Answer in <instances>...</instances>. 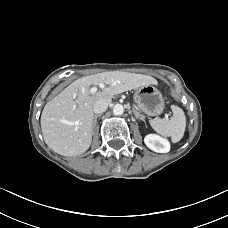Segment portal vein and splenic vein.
<instances>
[{"label": "portal vein and splenic vein", "instance_id": "18ae733b", "mask_svg": "<svg viewBox=\"0 0 228 228\" xmlns=\"http://www.w3.org/2000/svg\"><path fill=\"white\" fill-rule=\"evenodd\" d=\"M99 87H100V88H104V84H99ZM97 90H98L97 87H92V88L90 89V93H91V94H94V93L97 92Z\"/></svg>", "mask_w": 228, "mask_h": 228}]
</instances>
